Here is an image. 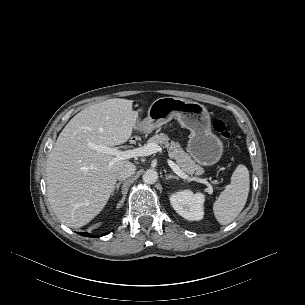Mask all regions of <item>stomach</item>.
Masks as SVG:
<instances>
[{
  "instance_id": "stomach-1",
  "label": "stomach",
  "mask_w": 305,
  "mask_h": 305,
  "mask_svg": "<svg viewBox=\"0 0 305 305\" xmlns=\"http://www.w3.org/2000/svg\"><path fill=\"white\" fill-rule=\"evenodd\" d=\"M175 118L190 130L187 150L203 166H212L222 157V141L211 131V119L204 105L177 97L156 99L149 107L147 117L141 122L144 133H151Z\"/></svg>"
}]
</instances>
